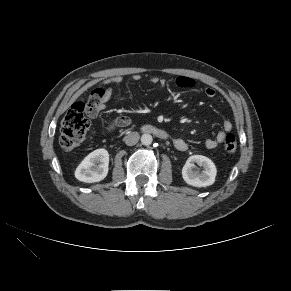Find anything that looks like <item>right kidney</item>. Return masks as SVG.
<instances>
[{"mask_svg": "<svg viewBox=\"0 0 291 291\" xmlns=\"http://www.w3.org/2000/svg\"><path fill=\"white\" fill-rule=\"evenodd\" d=\"M109 153L97 149L87 155L75 170V177L82 182L94 183L103 180L108 173Z\"/></svg>", "mask_w": 291, "mask_h": 291, "instance_id": "ca27d5eb", "label": "right kidney"}]
</instances>
